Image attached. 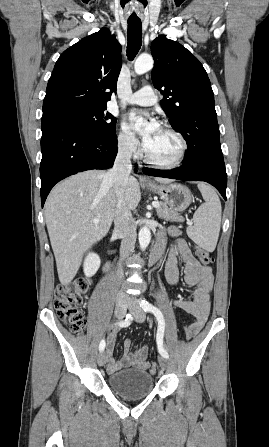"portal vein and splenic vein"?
I'll use <instances>...</instances> for the list:
<instances>
[{
  "label": "portal vein and splenic vein",
  "mask_w": 269,
  "mask_h": 447,
  "mask_svg": "<svg viewBox=\"0 0 269 447\" xmlns=\"http://www.w3.org/2000/svg\"><path fill=\"white\" fill-rule=\"evenodd\" d=\"M152 206H154V208H160V204L159 202H152ZM94 224H99V220H93ZM187 224L191 225L192 222H187Z\"/></svg>",
  "instance_id": "18ae733b"
}]
</instances>
